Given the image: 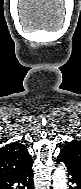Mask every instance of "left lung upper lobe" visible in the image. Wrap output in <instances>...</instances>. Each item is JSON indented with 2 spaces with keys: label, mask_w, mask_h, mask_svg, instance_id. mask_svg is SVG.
I'll return each mask as SVG.
<instances>
[{
  "label": "left lung upper lobe",
  "mask_w": 81,
  "mask_h": 189,
  "mask_svg": "<svg viewBox=\"0 0 81 189\" xmlns=\"http://www.w3.org/2000/svg\"><path fill=\"white\" fill-rule=\"evenodd\" d=\"M60 154L70 168L81 174V142L77 140L67 142Z\"/></svg>",
  "instance_id": "1"
}]
</instances>
